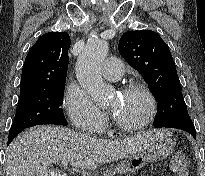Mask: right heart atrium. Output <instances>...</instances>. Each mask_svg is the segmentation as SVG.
Returning a JSON list of instances; mask_svg holds the SVG:
<instances>
[{
	"mask_svg": "<svg viewBox=\"0 0 205 176\" xmlns=\"http://www.w3.org/2000/svg\"><path fill=\"white\" fill-rule=\"evenodd\" d=\"M63 105L71 122L81 130L91 132L106 121L105 113L74 85L66 90Z\"/></svg>",
	"mask_w": 205,
	"mask_h": 176,
	"instance_id": "1",
	"label": "right heart atrium"
}]
</instances>
